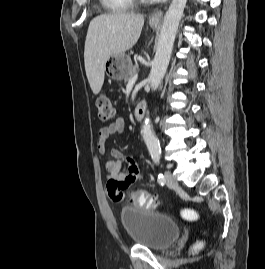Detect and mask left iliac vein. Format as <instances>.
Instances as JSON below:
<instances>
[{
  "label": "left iliac vein",
  "mask_w": 265,
  "mask_h": 269,
  "mask_svg": "<svg viewBox=\"0 0 265 269\" xmlns=\"http://www.w3.org/2000/svg\"><path fill=\"white\" fill-rule=\"evenodd\" d=\"M165 178H166V185L169 188H175L178 186L177 180L170 171L165 172Z\"/></svg>",
  "instance_id": "1"
}]
</instances>
